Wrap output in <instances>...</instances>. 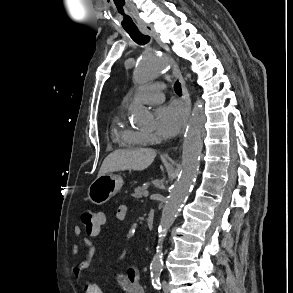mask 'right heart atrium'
Masks as SVG:
<instances>
[{
    "instance_id": "right-heart-atrium-1",
    "label": "right heart atrium",
    "mask_w": 293,
    "mask_h": 293,
    "mask_svg": "<svg viewBox=\"0 0 293 293\" xmlns=\"http://www.w3.org/2000/svg\"><path fill=\"white\" fill-rule=\"evenodd\" d=\"M147 142H154L156 138L150 133H142Z\"/></svg>"
}]
</instances>
